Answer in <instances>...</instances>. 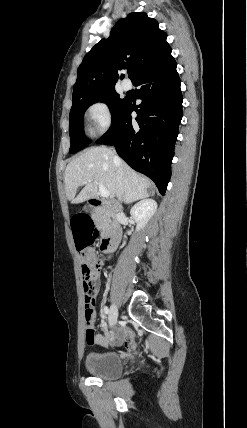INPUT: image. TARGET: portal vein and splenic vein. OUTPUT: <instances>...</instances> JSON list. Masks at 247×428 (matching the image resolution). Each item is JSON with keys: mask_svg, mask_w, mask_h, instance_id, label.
<instances>
[{"mask_svg": "<svg viewBox=\"0 0 247 428\" xmlns=\"http://www.w3.org/2000/svg\"><path fill=\"white\" fill-rule=\"evenodd\" d=\"M98 188H99V191H100V195H101L102 197H109L110 193H109V191L104 187V185H103V184L98 183Z\"/></svg>", "mask_w": 247, "mask_h": 428, "instance_id": "portal-vein-and-splenic-vein-1", "label": "portal vein and splenic vein"}]
</instances>
